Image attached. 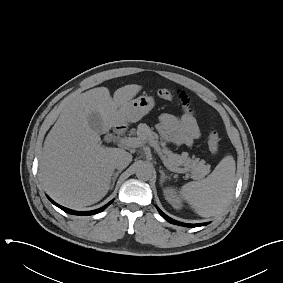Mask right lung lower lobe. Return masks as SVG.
<instances>
[{
	"mask_svg": "<svg viewBox=\"0 0 283 283\" xmlns=\"http://www.w3.org/2000/svg\"><path fill=\"white\" fill-rule=\"evenodd\" d=\"M48 199L54 204L56 205L57 207H59L60 209H62L63 211L69 213V214H74V215H92V214H96V213H99L101 211H103L109 204H111V202H109L108 204H106L105 206H103L102 208H99L97 210H93V211H88V212H78V211H74V210H71V209H68V208H65L63 206H60L59 204L55 203L53 200H51L49 197Z\"/></svg>",
	"mask_w": 283,
	"mask_h": 283,
	"instance_id": "98d812e1",
	"label": "right lung lower lobe"
}]
</instances>
